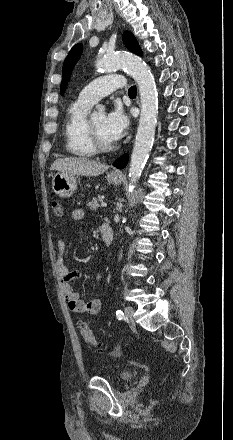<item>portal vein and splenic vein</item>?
<instances>
[{
  "instance_id": "portal-vein-and-splenic-vein-1",
  "label": "portal vein and splenic vein",
  "mask_w": 233,
  "mask_h": 440,
  "mask_svg": "<svg viewBox=\"0 0 233 440\" xmlns=\"http://www.w3.org/2000/svg\"><path fill=\"white\" fill-rule=\"evenodd\" d=\"M101 206H102V207H107V203H104V202H103V203L101 204Z\"/></svg>"
}]
</instances>
